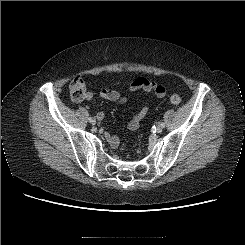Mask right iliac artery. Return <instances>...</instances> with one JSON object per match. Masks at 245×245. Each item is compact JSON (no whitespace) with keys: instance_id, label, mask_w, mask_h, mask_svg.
Listing matches in <instances>:
<instances>
[{"instance_id":"82829eb1","label":"right iliac artery","mask_w":245,"mask_h":245,"mask_svg":"<svg viewBox=\"0 0 245 245\" xmlns=\"http://www.w3.org/2000/svg\"><path fill=\"white\" fill-rule=\"evenodd\" d=\"M92 118L90 117V118H88V120L90 121Z\"/></svg>"}]
</instances>
